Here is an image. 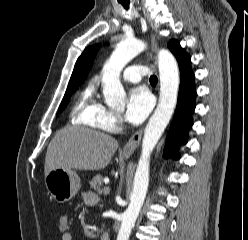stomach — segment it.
Wrapping results in <instances>:
<instances>
[{
    "label": "stomach",
    "instance_id": "obj_1",
    "mask_svg": "<svg viewBox=\"0 0 248 240\" xmlns=\"http://www.w3.org/2000/svg\"><path fill=\"white\" fill-rule=\"evenodd\" d=\"M129 155L124 156L128 158ZM45 184L52 197L59 203L71 200L81 187L80 177L72 170L57 168L45 177Z\"/></svg>",
    "mask_w": 248,
    "mask_h": 240
}]
</instances>
